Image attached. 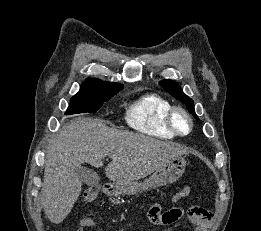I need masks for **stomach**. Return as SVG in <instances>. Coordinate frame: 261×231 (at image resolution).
<instances>
[{
    "instance_id": "0dacf381",
    "label": "stomach",
    "mask_w": 261,
    "mask_h": 231,
    "mask_svg": "<svg viewBox=\"0 0 261 231\" xmlns=\"http://www.w3.org/2000/svg\"><path fill=\"white\" fill-rule=\"evenodd\" d=\"M186 160L178 156L168 162L162 168L156 170L143 182L132 181L126 184L114 183L111 189L115 195H135L144 191L159 188L176 182L184 173Z\"/></svg>"
}]
</instances>
